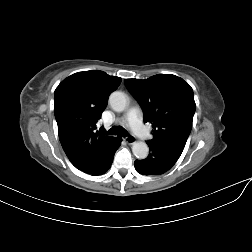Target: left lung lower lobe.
I'll list each match as a JSON object with an SVG mask.
<instances>
[{
    "mask_svg": "<svg viewBox=\"0 0 252 252\" xmlns=\"http://www.w3.org/2000/svg\"><path fill=\"white\" fill-rule=\"evenodd\" d=\"M149 155L146 159L136 160L135 169L142 175H160L167 172L177 162L182 152L154 142L147 141Z\"/></svg>",
    "mask_w": 252,
    "mask_h": 252,
    "instance_id": "1",
    "label": "left lung lower lobe"
}]
</instances>
